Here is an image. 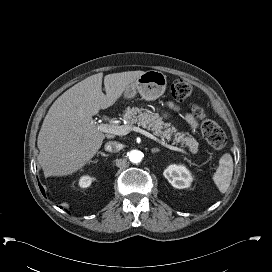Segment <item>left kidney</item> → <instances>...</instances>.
I'll list each match as a JSON object with an SVG mask.
<instances>
[{
  "label": "left kidney",
  "instance_id": "5707ae66",
  "mask_svg": "<svg viewBox=\"0 0 272 272\" xmlns=\"http://www.w3.org/2000/svg\"><path fill=\"white\" fill-rule=\"evenodd\" d=\"M168 182L177 189L188 188L193 181V177L184 165H169L163 172Z\"/></svg>",
  "mask_w": 272,
  "mask_h": 272
}]
</instances>
